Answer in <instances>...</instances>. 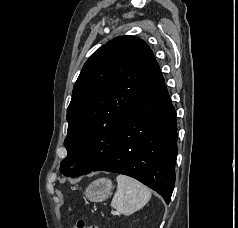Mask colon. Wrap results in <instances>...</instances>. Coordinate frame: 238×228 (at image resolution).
I'll use <instances>...</instances> for the list:
<instances>
[{"mask_svg": "<svg viewBox=\"0 0 238 228\" xmlns=\"http://www.w3.org/2000/svg\"><path fill=\"white\" fill-rule=\"evenodd\" d=\"M74 228H99L95 224H89L86 221L79 219L75 222Z\"/></svg>", "mask_w": 238, "mask_h": 228, "instance_id": "1", "label": "colon"}]
</instances>
